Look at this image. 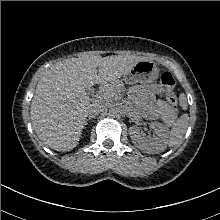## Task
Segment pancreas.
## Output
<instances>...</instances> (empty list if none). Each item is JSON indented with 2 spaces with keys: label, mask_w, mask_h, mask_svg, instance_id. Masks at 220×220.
<instances>
[{
  "label": "pancreas",
  "mask_w": 220,
  "mask_h": 220,
  "mask_svg": "<svg viewBox=\"0 0 220 220\" xmlns=\"http://www.w3.org/2000/svg\"><path fill=\"white\" fill-rule=\"evenodd\" d=\"M112 94H113L112 92H108L101 95V99L103 103L108 101L109 98L112 96ZM157 106H158V112L162 116L163 120L166 121L167 123H170L171 118L175 116L173 108L162 100L158 101Z\"/></svg>",
  "instance_id": "pancreas-1"
}]
</instances>
